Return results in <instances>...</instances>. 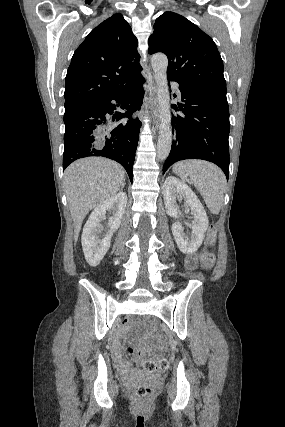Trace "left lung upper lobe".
Wrapping results in <instances>:
<instances>
[{"instance_id": "5c2ea615", "label": "left lung upper lobe", "mask_w": 285, "mask_h": 427, "mask_svg": "<svg viewBox=\"0 0 285 427\" xmlns=\"http://www.w3.org/2000/svg\"><path fill=\"white\" fill-rule=\"evenodd\" d=\"M149 53L168 57V77L179 85L226 96L223 62L216 44L185 17L165 12L154 24Z\"/></svg>"}]
</instances>
